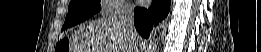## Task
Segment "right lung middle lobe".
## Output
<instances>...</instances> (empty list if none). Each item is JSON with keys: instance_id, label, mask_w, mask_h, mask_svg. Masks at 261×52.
Returning <instances> with one entry per match:
<instances>
[{"instance_id": "dd1d6c3e", "label": "right lung middle lobe", "mask_w": 261, "mask_h": 52, "mask_svg": "<svg viewBox=\"0 0 261 52\" xmlns=\"http://www.w3.org/2000/svg\"><path fill=\"white\" fill-rule=\"evenodd\" d=\"M100 9V0H71L62 31L90 18Z\"/></svg>"}]
</instances>
